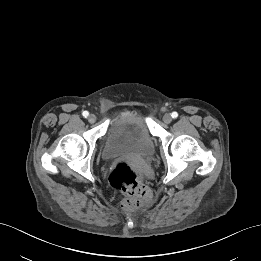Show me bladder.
<instances>
[{
  "label": "bladder",
  "mask_w": 261,
  "mask_h": 261,
  "mask_svg": "<svg viewBox=\"0 0 261 261\" xmlns=\"http://www.w3.org/2000/svg\"><path fill=\"white\" fill-rule=\"evenodd\" d=\"M154 148L155 139L142 109L132 106L110 121L102 139L101 154L107 160L119 156L148 158Z\"/></svg>",
  "instance_id": "bladder-1"
}]
</instances>
